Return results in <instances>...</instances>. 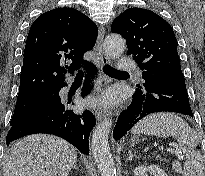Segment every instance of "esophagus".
<instances>
[{
	"mask_svg": "<svg viewBox=\"0 0 205 176\" xmlns=\"http://www.w3.org/2000/svg\"><path fill=\"white\" fill-rule=\"evenodd\" d=\"M105 29L102 27L98 33V39L96 43V55H97V66L100 70L109 63V58L106 56L103 49V39H104ZM109 80L104 78V84H107ZM110 116V113L101 107H98L95 111V117L98 121L105 119Z\"/></svg>",
	"mask_w": 205,
	"mask_h": 176,
	"instance_id": "1",
	"label": "esophagus"
}]
</instances>
